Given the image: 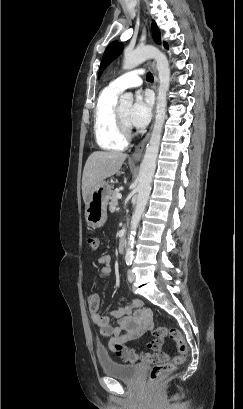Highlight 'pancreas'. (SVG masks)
<instances>
[{"mask_svg": "<svg viewBox=\"0 0 243 409\" xmlns=\"http://www.w3.org/2000/svg\"><path fill=\"white\" fill-rule=\"evenodd\" d=\"M119 193V191L115 190L112 192L111 194V198H110V202H109V210L111 212H115L116 211V207L118 205V198H117V194Z\"/></svg>", "mask_w": 243, "mask_h": 409, "instance_id": "1", "label": "pancreas"}]
</instances>
